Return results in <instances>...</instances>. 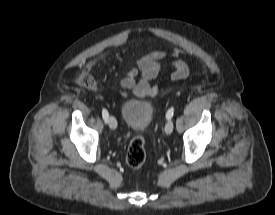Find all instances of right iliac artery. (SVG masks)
Wrapping results in <instances>:
<instances>
[{"label":"right iliac artery","instance_id":"82829eb1","mask_svg":"<svg viewBox=\"0 0 275 215\" xmlns=\"http://www.w3.org/2000/svg\"><path fill=\"white\" fill-rule=\"evenodd\" d=\"M108 116H109L108 111L105 108H103L102 109V117H103L105 122H107Z\"/></svg>","mask_w":275,"mask_h":215}]
</instances>
